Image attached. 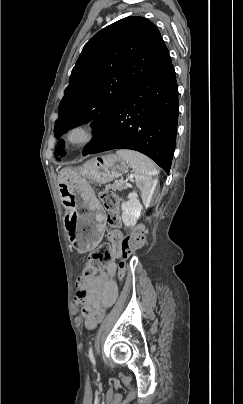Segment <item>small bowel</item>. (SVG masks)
I'll return each mask as SVG.
<instances>
[{
	"mask_svg": "<svg viewBox=\"0 0 243 404\" xmlns=\"http://www.w3.org/2000/svg\"><path fill=\"white\" fill-rule=\"evenodd\" d=\"M109 238L116 246V252L118 253L117 247L121 241L122 234L119 231H111ZM116 272L117 264L109 262L105 267V271L96 277L90 279L80 278L77 282L76 300L83 306L85 325L88 329L96 327L98 323L97 316L104 313L117 299L118 290L113 279Z\"/></svg>",
	"mask_w": 243,
	"mask_h": 404,
	"instance_id": "obj_1",
	"label": "small bowel"
}]
</instances>
